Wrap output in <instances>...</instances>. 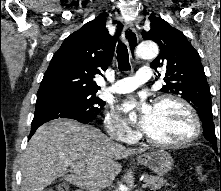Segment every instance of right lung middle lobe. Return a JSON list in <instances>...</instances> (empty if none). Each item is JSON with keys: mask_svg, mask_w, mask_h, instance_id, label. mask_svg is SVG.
<instances>
[{"mask_svg": "<svg viewBox=\"0 0 221 191\" xmlns=\"http://www.w3.org/2000/svg\"><path fill=\"white\" fill-rule=\"evenodd\" d=\"M59 100L69 105L73 110L85 118H96L105 102L94 93H66L56 96Z\"/></svg>", "mask_w": 221, "mask_h": 191, "instance_id": "dd1d6c3e", "label": "right lung middle lobe"}]
</instances>
